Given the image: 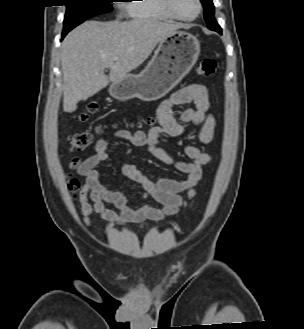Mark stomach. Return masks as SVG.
I'll list each match as a JSON object with an SVG mask.
<instances>
[{"mask_svg":"<svg viewBox=\"0 0 304 329\" xmlns=\"http://www.w3.org/2000/svg\"><path fill=\"white\" fill-rule=\"evenodd\" d=\"M200 43L192 34L176 31L163 39L145 69L128 74L109 87L110 95L120 101L139 98L155 101L172 90L196 63Z\"/></svg>","mask_w":304,"mask_h":329,"instance_id":"obj_1","label":"stomach"}]
</instances>
